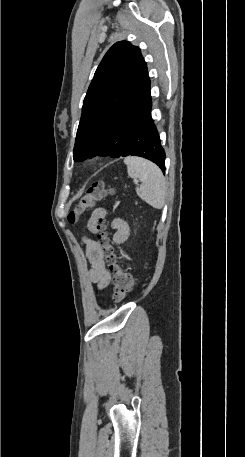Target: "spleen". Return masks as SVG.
Masks as SVG:
<instances>
[{
    "instance_id": "obj_1",
    "label": "spleen",
    "mask_w": 245,
    "mask_h": 457,
    "mask_svg": "<svg viewBox=\"0 0 245 457\" xmlns=\"http://www.w3.org/2000/svg\"><path fill=\"white\" fill-rule=\"evenodd\" d=\"M124 162L129 176L142 180V184L136 186L138 196L154 208H163L167 186L161 168L142 156H126Z\"/></svg>"
}]
</instances>
